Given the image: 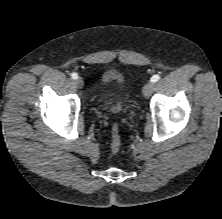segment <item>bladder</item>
Segmentation results:
<instances>
[{"label": "bladder", "instance_id": "1", "mask_svg": "<svg viewBox=\"0 0 222 219\" xmlns=\"http://www.w3.org/2000/svg\"><path fill=\"white\" fill-rule=\"evenodd\" d=\"M100 81L104 84L106 83H117V84H123L124 83V77L123 75L114 69H107L105 70L100 77ZM126 106V101L123 98L118 99L117 102H115L112 105V109L115 111H122Z\"/></svg>", "mask_w": 222, "mask_h": 219}]
</instances>
